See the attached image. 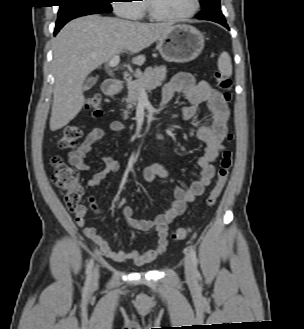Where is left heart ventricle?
I'll list each match as a JSON object with an SVG mask.
<instances>
[{"instance_id":"b2bd125f","label":"left heart ventricle","mask_w":304,"mask_h":329,"mask_svg":"<svg viewBox=\"0 0 304 329\" xmlns=\"http://www.w3.org/2000/svg\"><path fill=\"white\" fill-rule=\"evenodd\" d=\"M156 10L164 15L177 16L189 12L193 0H153Z\"/></svg>"}]
</instances>
